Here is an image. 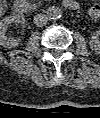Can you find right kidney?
Segmentation results:
<instances>
[{"instance_id":"ca27d5eb","label":"right kidney","mask_w":100,"mask_h":118,"mask_svg":"<svg viewBox=\"0 0 100 118\" xmlns=\"http://www.w3.org/2000/svg\"><path fill=\"white\" fill-rule=\"evenodd\" d=\"M13 22L24 23L25 19L19 15H10L0 21V45L3 47L14 48L19 44V39L6 34L8 26Z\"/></svg>"}]
</instances>
